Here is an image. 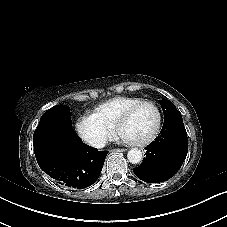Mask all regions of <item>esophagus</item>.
<instances>
[{
  "label": "esophagus",
  "instance_id": "1",
  "mask_svg": "<svg viewBox=\"0 0 227 227\" xmlns=\"http://www.w3.org/2000/svg\"><path fill=\"white\" fill-rule=\"evenodd\" d=\"M127 148H114L112 149L113 152H125Z\"/></svg>",
  "mask_w": 227,
  "mask_h": 227
}]
</instances>
